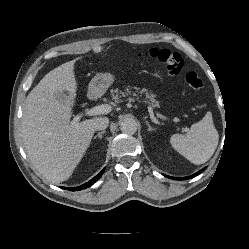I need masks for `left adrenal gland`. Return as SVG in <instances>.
<instances>
[{"instance_id": "1", "label": "left adrenal gland", "mask_w": 249, "mask_h": 249, "mask_svg": "<svg viewBox=\"0 0 249 249\" xmlns=\"http://www.w3.org/2000/svg\"><path fill=\"white\" fill-rule=\"evenodd\" d=\"M146 124H147V126H148V131H149V132H150V131H156L155 128H152V127L150 126V124H149L148 121H146Z\"/></svg>"}]
</instances>
